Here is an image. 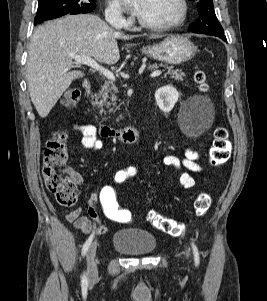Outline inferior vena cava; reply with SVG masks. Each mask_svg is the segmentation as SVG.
Instances as JSON below:
<instances>
[{
  "label": "inferior vena cava",
  "instance_id": "inferior-vena-cava-1",
  "mask_svg": "<svg viewBox=\"0 0 267 301\" xmlns=\"http://www.w3.org/2000/svg\"><path fill=\"white\" fill-rule=\"evenodd\" d=\"M106 21L115 29H121L123 27V22L118 15H107Z\"/></svg>",
  "mask_w": 267,
  "mask_h": 301
}]
</instances>
